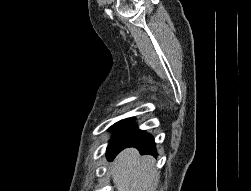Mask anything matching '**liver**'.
Wrapping results in <instances>:
<instances>
[{
    "instance_id": "liver-1",
    "label": "liver",
    "mask_w": 251,
    "mask_h": 191,
    "mask_svg": "<svg viewBox=\"0 0 251 191\" xmlns=\"http://www.w3.org/2000/svg\"><path fill=\"white\" fill-rule=\"evenodd\" d=\"M152 155H140L136 147H127L118 153L111 175L117 191H148L156 177Z\"/></svg>"
}]
</instances>
